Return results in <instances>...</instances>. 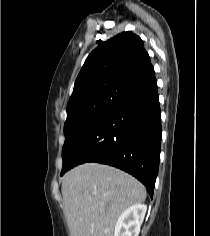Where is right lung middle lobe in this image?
Wrapping results in <instances>:
<instances>
[{"instance_id":"dd1d6c3e","label":"right lung middle lobe","mask_w":210,"mask_h":236,"mask_svg":"<svg viewBox=\"0 0 210 236\" xmlns=\"http://www.w3.org/2000/svg\"><path fill=\"white\" fill-rule=\"evenodd\" d=\"M125 91H107L83 100L67 109L64 125L65 143L62 148L63 167L89 131L119 101Z\"/></svg>"}]
</instances>
